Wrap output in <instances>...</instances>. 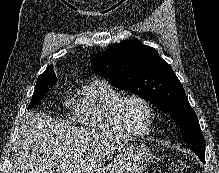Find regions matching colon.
Here are the masks:
<instances>
[{
    "mask_svg": "<svg viewBox=\"0 0 219 173\" xmlns=\"http://www.w3.org/2000/svg\"><path fill=\"white\" fill-rule=\"evenodd\" d=\"M171 173H188V167L182 160H173L170 164Z\"/></svg>",
    "mask_w": 219,
    "mask_h": 173,
    "instance_id": "colon-1",
    "label": "colon"
}]
</instances>
